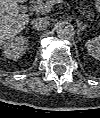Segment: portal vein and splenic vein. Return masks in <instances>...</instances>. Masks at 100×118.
<instances>
[{
  "label": "portal vein and splenic vein",
  "instance_id": "18ae733b",
  "mask_svg": "<svg viewBox=\"0 0 100 118\" xmlns=\"http://www.w3.org/2000/svg\"><path fill=\"white\" fill-rule=\"evenodd\" d=\"M56 3H64V2H63V0H49V1L45 2V4L34 5L33 10L36 13L45 14V13H48L49 11H51L54 4H56Z\"/></svg>",
  "mask_w": 100,
  "mask_h": 118
}]
</instances>
